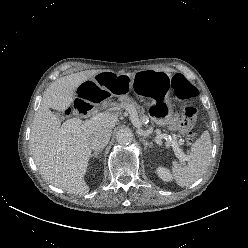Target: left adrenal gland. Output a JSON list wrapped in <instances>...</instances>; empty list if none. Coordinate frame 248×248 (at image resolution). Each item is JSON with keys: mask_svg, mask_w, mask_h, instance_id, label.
<instances>
[{"mask_svg": "<svg viewBox=\"0 0 248 248\" xmlns=\"http://www.w3.org/2000/svg\"><path fill=\"white\" fill-rule=\"evenodd\" d=\"M140 141L144 144V148L146 149L147 147H151V145L143 138H140Z\"/></svg>", "mask_w": 248, "mask_h": 248, "instance_id": "1", "label": "left adrenal gland"}]
</instances>
